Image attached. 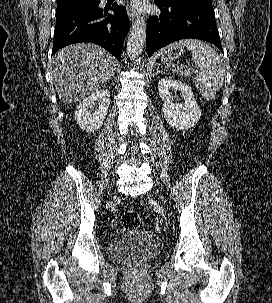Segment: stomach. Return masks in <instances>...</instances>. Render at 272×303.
Returning a JSON list of instances; mask_svg holds the SVG:
<instances>
[{
    "label": "stomach",
    "instance_id": "1",
    "mask_svg": "<svg viewBox=\"0 0 272 303\" xmlns=\"http://www.w3.org/2000/svg\"><path fill=\"white\" fill-rule=\"evenodd\" d=\"M183 52H184L183 47L181 48L167 47L159 52V58L161 59V61L168 62L177 59L178 57L181 56Z\"/></svg>",
    "mask_w": 272,
    "mask_h": 303
}]
</instances>
